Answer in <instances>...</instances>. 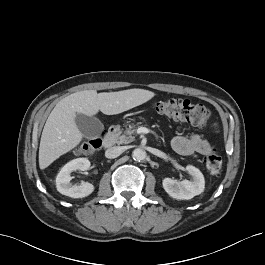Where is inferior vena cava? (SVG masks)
<instances>
[{"label": "inferior vena cava", "mask_w": 265, "mask_h": 265, "mask_svg": "<svg viewBox=\"0 0 265 265\" xmlns=\"http://www.w3.org/2000/svg\"><path fill=\"white\" fill-rule=\"evenodd\" d=\"M123 152L121 147H111L105 151V156L109 159L118 157Z\"/></svg>", "instance_id": "602c4592"}]
</instances>
